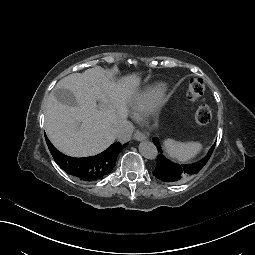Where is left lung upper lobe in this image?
<instances>
[{
    "label": "left lung upper lobe",
    "instance_id": "1",
    "mask_svg": "<svg viewBox=\"0 0 255 255\" xmlns=\"http://www.w3.org/2000/svg\"><path fill=\"white\" fill-rule=\"evenodd\" d=\"M153 140H154V139H153ZM157 148H158V147H157ZM212 153H213V151H212ZM212 153H210V156L212 155ZM158 164H159V163H157V165H158ZM157 165H156V166H157ZM193 166H196V164H194ZM201 169H202V168H201ZM198 172H199V171H197V173H198ZM197 173H194V175L197 174ZM156 178H157V177H156ZM157 179H159V178H157ZM186 179H187V178H186ZM183 181H184V180H183ZM179 182H182V181H179ZM166 183H167V182H166ZM174 183H178V182H174Z\"/></svg>",
    "mask_w": 255,
    "mask_h": 255
}]
</instances>
